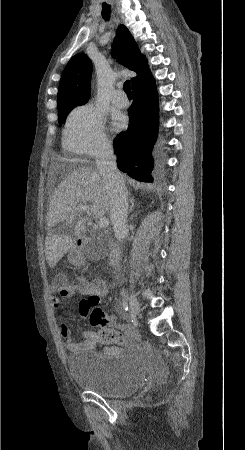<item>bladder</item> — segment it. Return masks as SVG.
<instances>
[{
    "instance_id": "1",
    "label": "bladder",
    "mask_w": 245,
    "mask_h": 450,
    "mask_svg": "<svg viewBox=\"0 0 245 450\" xmlns=\"http://www.w3.org/2000/svg\"><path fill=\"white\" fill-rule=\"evenodd\" d=\"M66 363L78 386L101 397H128L144 385V368L132 354L81 353L68 356Z\"/></svg>"
}]
</instances>
